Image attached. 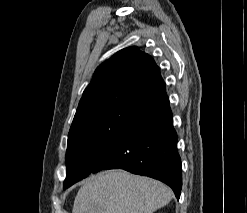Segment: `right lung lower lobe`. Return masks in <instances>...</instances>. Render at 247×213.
Masks as SVG:
<instances>
[{
  "label": "right lung lower lobe",
  "instance_id": "98d812e1",
  "mask_svg": "<svg viewBox=\"0 0 247 213\" xmlns=\"http://www.w3.org/2000/svg\"><path fill=\"white\" fill-rule=\"evenodd\" d=\"M177 134L165 87L131 101L130 113L113 142L101 151L93 172L121 168L158 179L177 198L182 188V164Z\"/></svg>",
  "mask_w": 247,
  "mask_h": 213
}]
</instances>
